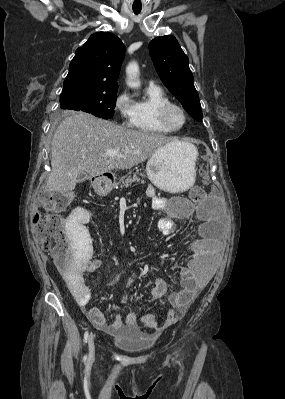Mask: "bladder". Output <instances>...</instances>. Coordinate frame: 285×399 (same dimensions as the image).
<instances>
[{
	"label": "bladder",
	"mask_w": 285,
	"mask_h": 399,
	"mask_svg": "<svg viewBox=\"0 0 285 399\" xmlns=\"http://www.w3.org/2000/svg\"><path fill=\"white\" fill-rule=\"evenodd\" d=\"M113 342L122 350L129 353H139L150 349L152 338L144 333H139L134 337L114 338Z\"/></svg>",
	"instance_id": "1"
}]
</instances>
